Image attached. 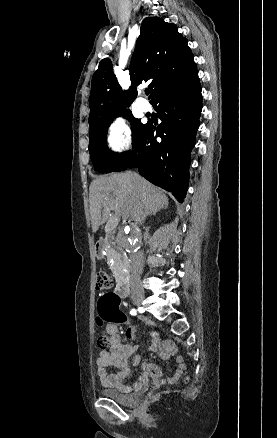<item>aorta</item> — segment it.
Instances as JSON below:
<instances>
[{"label": "aorta", "instance_id": "obj_1", "mask_svg": "<svg viewBox=\"0 0 277 438\" xmlns=\"http://www.w3.org/2000/svg\"><path fill=\"white\" fill-rule=\"evenodd\" d=\"M118 242L127 251L136 250L142 243V232L136 225L127 226L120 232Z\"/></svg>", "mask_w": 277, "mask_h": 438}]
</instances>
